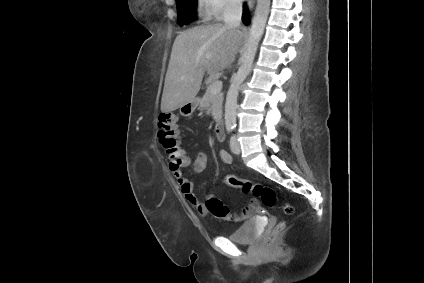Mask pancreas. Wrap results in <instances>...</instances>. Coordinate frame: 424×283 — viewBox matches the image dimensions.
<instances>
[{"instance_id":"1","label":"pancreas","mask_w":424,"mask_h":283,"mask_svg":"<svg viewBox=\"0 0 424 283\" xmlns=\"http://www.w3.org/2000/svg\"><path fill=\"white\" fill-rule=\"evenodd\" d=\"M218 75H213L208 80V87L206 93L200 100V109L206 110V114H211L213 119L217 122L221 118L222 103L224 100L223 93L212 94L210 85L217 79Z\"/></svg>"}]
</instances>
